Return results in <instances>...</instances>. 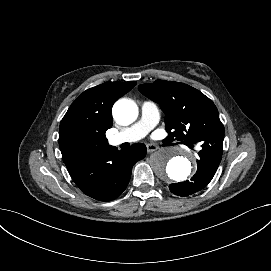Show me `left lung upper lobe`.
Returning a JSON list of instances; mask_svg holds the SVG:
<instances>
[{
    "label": "left lung upper lobe",
    "instance_id": "5c2ea615",
    "mask_svg": "<svg viewBox=\"0 0 271 271\" xmlns=\"http://www.w3.org/2000/svg\"><path fill=\"white\" fill-rule=\"evenodd\" d=\"M138 89L166 114V140L200 142L203 148L222 153L224 126L207 96L187 84L165 80L142 84Z\"/></svg>",
    "mask_w": 271,
    "mask_h": 271
}]
</instances>
